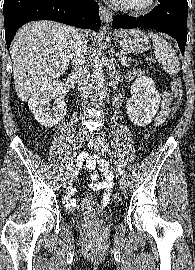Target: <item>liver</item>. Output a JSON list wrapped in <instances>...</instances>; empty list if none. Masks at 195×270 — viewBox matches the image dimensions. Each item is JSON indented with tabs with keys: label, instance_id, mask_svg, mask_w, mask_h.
Here are the masks:
<instances>
[{
	"label": "liver",
	"instance_id": "obj_1",
	"mask_svg": "<svg viewBox=\"0 0 195 270\" xmlns=\"http://www.w3.org/2000/svg\"><path fill=\"white\" fill-rule=\"evenodd\" d=\"M77 34L74 27L54 21L31 22L18 30L10 55L20 100H27L66 71Z\"/></svg>",
	"mask_w": 195,
	"mask_h": 270
}]
</instances>
